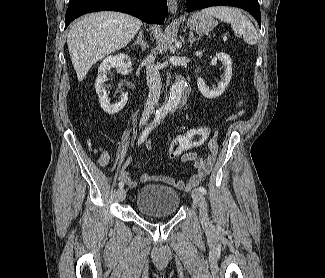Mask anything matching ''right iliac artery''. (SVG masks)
Instances as JSON below:
<instances>
[{
	"mask_svg": "<svg viewBox=\"0 0 325 278\" xmlns=\"http://www.w3.org/2000/svg\"><path fill=\"white\" fill-rule=\"evenodd\" d=\"M152 128H153L152 125L145 128V130L142 132V134H141V136H140V138L138 140V144H141L142 142H144L146 140V138H147L149 132L152 130ZM118 186L120 188H122L124 186V184L122 182H120L118 184Z\"/></svg>",
	"mask_w": 325,
	"mask_h": 278,
	"instance_id": "obj_1",
	"label": "right iliac artery"
}]
</instances>
